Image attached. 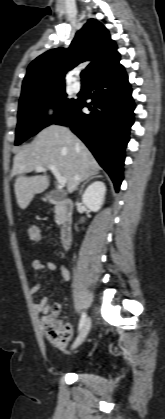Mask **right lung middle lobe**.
<instances>
[{
  "label": "right lung middle lobe",
  "instance_id": "dd1d6c3e",
  "mask_svg": "<svg viewBox=\"0 0 165 419\" xmlns=\"http://www.w3.org/2000/svg\"><path fill=\"white\" fill-rule=\"evenodd\" d=\"M78 102L68 99L64 88L31 96L19 102L15 145H19L41 129L74 109ZM53 107L54 116L48 118L43 110Z\"/></svg>",
  "mask_w": 165,
  "mask_h": 419
}]
</instances>
